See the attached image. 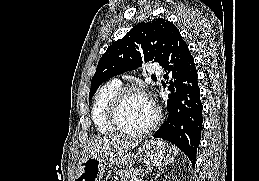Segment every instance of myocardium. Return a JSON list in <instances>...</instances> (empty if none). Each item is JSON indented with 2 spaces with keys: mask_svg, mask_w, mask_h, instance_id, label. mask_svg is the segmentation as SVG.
<instances>
[{
  "mask_svg": "<svg viewBox=\"0 0 259 181\" xmlns=\"http://www.w3.org/2000/svg\"><path fill=\"white\" fill-rule=\"evenodd\" d=\"M132 95H139L142 96L144 98H146L147 100H149L154 109H155V116L153 121L146 126L145 128L141 129V130H137V131H131L126 129L125 127H123L122 123H121V110L122 107L124 105V102L126 101V99ZM109 122L111 124V126L121 135L126 136V137H130V138H137V137H141L144 135H147L148 133H150L151 131H153L161 118V113L160 110L155 106L152 98L149 96V94L142 88L137 87V86H128V87H123L120 88V90L115 94V96L113 97L111 103H110V107H109Z\"/></svg>",
  "mask_w": 259,
  "mask_h": 181,
  "instance_id": "myocardium-1",
  "label": "myocardium"
}]
</instances>
